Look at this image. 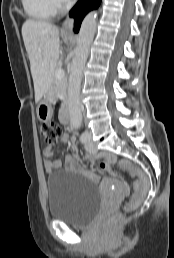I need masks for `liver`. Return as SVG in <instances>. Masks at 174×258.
Segmentation results:
<instances>
[{
	"label": "liver",
	"mask_w": 174,
	"mask_h": 258,
	"mask_svg": "<svg viewBox=\"0 0 174 258\" xmlns=\"http://www.w3.org/2000/svg\"><path fill=\"white\" fill-rule=\"evenodd\" d=\"M22 37L30 60L35 102L51 89L60 54L59 29L44 21L28 19L22 26Z\"/></svg>",
	"instance_id": "liver-1"
}]
</instances>
